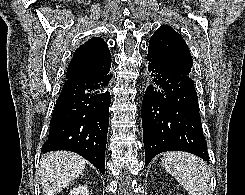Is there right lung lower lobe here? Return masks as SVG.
Returning a JSON list of instances; mask_svg holds the SVG:
<instances>
[{
    "instance_id": "98d812e1",
    "label": "right lung lower lobe",
    "mask_w": 245,
    "mask_h": 195,
    "mask_svg": "<svg viewBox=\"0 0 245 195\" xmlns=\"http://www.w3.org/2000/svg\"><path fill=\"white\" fill-rule=\"evenodd\" d=\"M110 67L84 77L65 81L50 121L43 153L57 150L75 152L105 173V149L111 96L108 91Z\"/></svg>"
}]
</instances>
